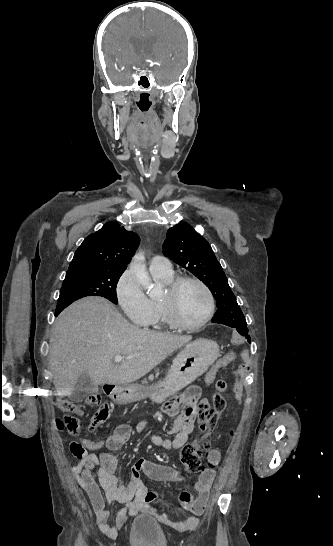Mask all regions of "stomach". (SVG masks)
<instances>
[{
  "label": "stomach",
  "instance_id": "1",
  "mask_svg": "<svg viewBox=\"0 0 333 546\" xmlns=\"http://www.w3.org/2000/svg\"><path fill=\"white\" fill-rule=\"evenodd\" d=\"M220 355L219 345L210 339L200 338L188 343L173 360L166 377L152 386H116L110 393L116 403L126 404L150 397L157 403L194 382L206 372L212 361Z\"/></svg>",
  "mask_w": 333,
  "mask_h": 546
}]
</instances>
